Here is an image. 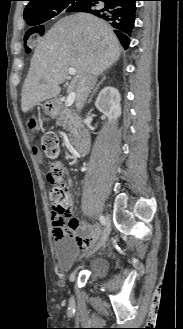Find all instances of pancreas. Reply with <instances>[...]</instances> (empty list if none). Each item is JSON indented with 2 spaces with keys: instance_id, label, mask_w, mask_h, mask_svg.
<instances>
[{
  "instance_id": "pancreas-1",
  "label": "pancreas",
  "mask_w": 183,
  "mask_h": 329,
  "mask_svg": "<svg viewBox=\"0 0 183 329\" xmlns=\"http://www.w3.org/2000/svg\"><path fill=\"white\" fill-rule=\"evenodd\" d=\"M55 118L57 126H63L73 137L77 134L79 119L72 109L60 106L58 112L55 114Z\"/></svg>"
}]
</instances>
